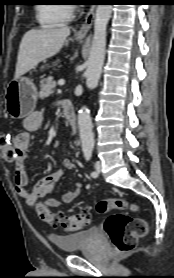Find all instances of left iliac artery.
Listing matches in <instances>:
<instances>
[{"label":"left iliac artery","mask_w":174,"mask_h":278,"mask_svg":"<svg viewBox=\"0 0 174 278\" xmlns=\"http://www.w3.org/2000/svg\"><path fill=\"white\" fill-rule=\"evenodd\" d=\"M84 156H85L86 161H89L92 157V149H85L84 150ZM91 176L92 177H97L98 173L93 171V172H91Z\"/></svg>","instance_id":"44dca946"}]
</instances>
